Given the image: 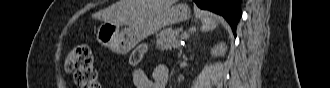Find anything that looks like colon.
Here are the masks:
<instances>
[{"mask_svg":"<svg viewBox=\"0 0 330 88\" xmlns=\"http://www.w3.org/2000/svg\"><path fill=\"white\" fill-rule=\"evenodd\" d=\"M147 45L139 46L131 55V64L137 65L146 51ZM65 70L74 74L77 85L81 88H100L98 69L92 49L87 45L75 46L65 57Z\"/></svg>","mask_w":330,"mask_h":88,"instance_id":"1","label":"colon"}]
</instances>
